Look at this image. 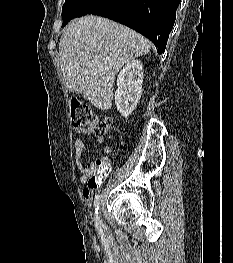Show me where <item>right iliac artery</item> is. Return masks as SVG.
I'll list each match as a JSON object with an SVG mask.
<instances>
[{"instance_id": "1", "label": "right iliac artery", "mask_w": 233, "mask_h": 263, "mask_svg": "<svg viewBox=\"0 0 233 263\" xmlns=\"http://www.w3.org/2000/svg\"><path fill=\"white\" fill-rule=\"evenodd\" d=\"M99 203H100V195H96L94 200V206H95V223L97 227H100L101 225V220L98 215Z\"/></svg>"}]
</instances>
